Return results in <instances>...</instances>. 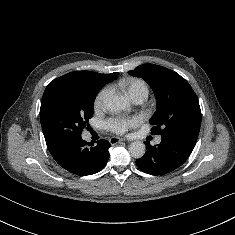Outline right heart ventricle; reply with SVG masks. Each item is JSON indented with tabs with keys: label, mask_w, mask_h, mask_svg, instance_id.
Returning <instances> with one entry per match:
<instances>
[{
	"label": "right heart ventricle",
	"mask_w": 235,
	"mask_h": 235,
	"mask_svg": "<svg viewBox=\"0 0 235 235\" xmlns=\"http://www.w3.org/2000/svg\"><path fill=\"white\" fill-rule=\"evenodd\" d=\"M119 85L127 92V94L133 98L139 94L148 95L147 84L139 78H129L120 81Z\"/></svg>",
	"instance_id": "1"
}]
</instances>
